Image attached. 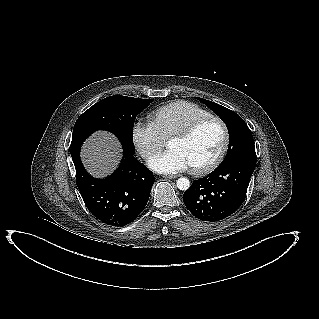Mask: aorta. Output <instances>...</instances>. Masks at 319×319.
I'll list each match as a JSON object with an SVG mask.
<instances>
[{"label": "aorta", "instance_id": "obj_1", "mask_svg": "<svg viewBox=\"0 0 319 319\" xmlns=\"http://www.w3.org/2000/svg\"><path fill=\"white\" fill-rule=\"evenodd\" d=\"M177 187L180 190H187L190 187V181L189 179L185 178V177H181L177 180Z\"/></svg>", "mask_w": 319, "mask_h": 319}]
</instances>
